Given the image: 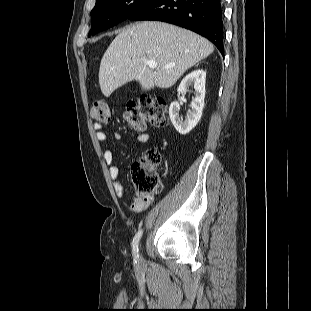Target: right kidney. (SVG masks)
<instances>
[{"label": "right kidney", "instance_id": "obj_1", "mask_svg": "<svg viewBox=\"0 0 311 311\" xmlns=\"http://www.w3.org/2000/svg\"><path fill=\"white\" fill-rule=\"evenodd\" d=\"M206 72L197 69L189 73L180 83L178 93H185L188 86L194 85L195 98L191 102V110L183 120L179 115L180 104L178 101L171 103L169 116L175 129L182 135L188 134L199 122L204 108Z\"/></svg>", "mask_w": 311, "mask_h": 311}]
</instances>
